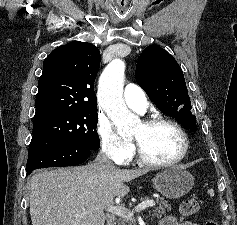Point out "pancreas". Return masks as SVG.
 I'll return each mask as SVG.
<instances>
[{"mask_svg":"<svg viewBox=\"0 0 237 225\" xmlns=\"http://www.w3.org/2000/svg\"><path fill=\"white\" fill-rule=\"evenodd\" d=\"M156 202L158 207L156 208V212L160 214L166 213V211H169L171 209L170 204H168V201L164 200L163 198L159 197L156 198ZM133 219L132 218H119L118 225H132Z\"/></svg>","mask_w":237,"mask_h":225,"instance_id":"1","label":"pancreas"}]
</instances>
